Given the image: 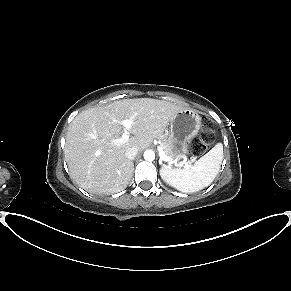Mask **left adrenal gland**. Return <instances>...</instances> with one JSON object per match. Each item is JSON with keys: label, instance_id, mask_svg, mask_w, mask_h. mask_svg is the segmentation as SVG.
<instances>
[{"label": "left adrenal gland", "instance_id": "left-adrenal-gland-1", "mask_svg": "<svg viewBox=\"0 0 291 291\" xmlns=\"http://www.w3.org/2000/svg\"><path fill=\"white\" fill-rule=\"evenodd\" d=\"M160 165L164 166V164L162 163V161H160Z\"/></svg>", "mask_w": 291, "mask_h": 291}]
</instances>
